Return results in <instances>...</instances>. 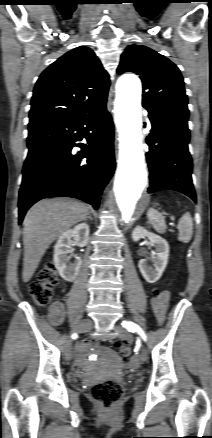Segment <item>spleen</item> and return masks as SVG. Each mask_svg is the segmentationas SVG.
Wrapping results in <instances>:
<instances>
[{
  "instance_id": "obj_1",
  "label": "spleen",
  "mask_w": 212,
  "mask_h": 438,
  "mask_svg": "<svg viewBox=\"0 0 212 438\" xmlns=\"http://www.w3.org/2000/svg\"><path fill=\"white\" fill-rule=\"evenodd\" d=\"M147 217L157 232L165 233L167 226L162 214L153 208H149L147 211ZM177 228L179 230L178 240L183 243H188L191 240L193 233V220L189 212L183 214L179 219Z\"/></svg>"
}]
</instances>
